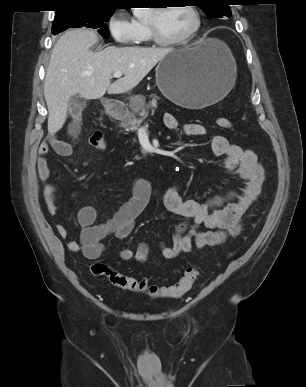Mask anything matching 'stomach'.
Segmentation results:
<instances>
[{
  "label": "stomach",
  "instance_id": "0dacf381",
  "mask_svg": "<svg viewBox=\"0 0 306 387\" xmlns=\"http://www.w3.org/2000/svg\"><path fill=\"white\" fill-rule=\"evenodd\" d=\"M155 71L156 84L163 95L189 109H201L223 99L237 76L230 49L213 38L169 52ZM104 106L114 114L109 101H104Z\"/></svg>",
  "mask_w": 306,
  "mask_h": 387
}]
</instances>
